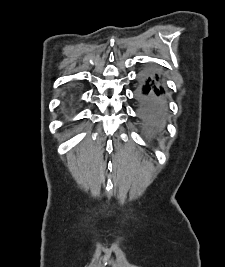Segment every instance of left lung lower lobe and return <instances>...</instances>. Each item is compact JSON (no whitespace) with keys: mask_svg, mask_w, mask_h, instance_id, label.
I'll list each match as a JSON object with an SVG mask.
<instances>
[{"mask_svg":"<svg viewBox=\"0 0 225 267\" xmlns=\"http://www.w3.org/2000/svg\"><path fill=\"white\" fill-rule=\"evenodd\" d=\"M162 79L154 71H146L138 91L140 108L147 110L155 122L163 124L167 116Z\"/></svg>","mask_w":225,"mask_h":267,"instance_id":"left-lung-lower-lobe-1","label":"left lung lower lobe"}]
</instances>
